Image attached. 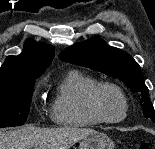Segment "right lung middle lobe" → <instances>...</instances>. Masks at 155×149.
<instances>
[{"label":"right lung middle lobe","mask_w":155,"mask_h":149,"mask_svg":"<svg viewBox=\"0 0 155 149\" xmlns=\"http://www.w3.org/2000/svg\"><path fill=\"white\" fill-rule=\"evenodd\" d=\"M36 78L0 79V128L25 123Z\"/></svg>","instance_id":"obj_1"}]
</instances>
